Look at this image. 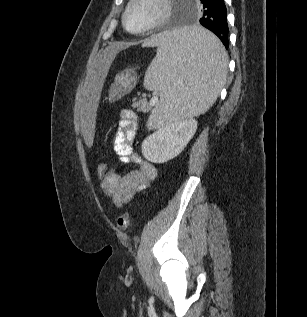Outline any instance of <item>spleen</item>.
Here are the masks:
<instances>
[{
  "instance_id": "spleen-1",
  "label": "spleen",
  "mask_w": 307,
  "mask_h": 317,
  "mask_svg": "<svg viewBox=\"0 0 307 317\" xmlns=\"http://www.w3.org/2000/svg\"><path fill=\"white\" fill-rule=\"evenodd\" d=\"M141 47H157L144 79L161 96L150 129L198 116L214 104L226 81L228 56L206 26L162 29L141 40Z\"/></svg>"
}]
</instances>
